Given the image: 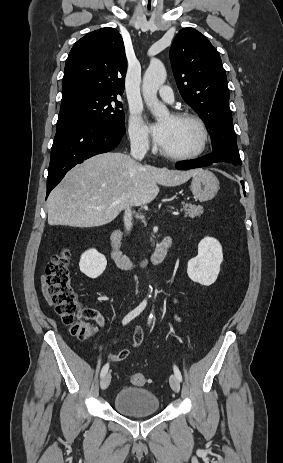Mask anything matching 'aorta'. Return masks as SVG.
<instances>
[{
	"instance_id": "1",
	"label": "aorta",
	"mask_w": 283,
	"mask_h": 463,
	"mask_svg": "<svg viewBox=\"0 0 283 463\" xmlns=\"http://www.w3.org/2000/svg\"><path fill=\"white\" fill-rule=\"evenodd\" d=\"M165 80L166 69L163 63L152 61L143 76L142 94L147 107L158 120L168 115L166 106L157 98L158 89Z\"/></svg>"
}]
</instances>
